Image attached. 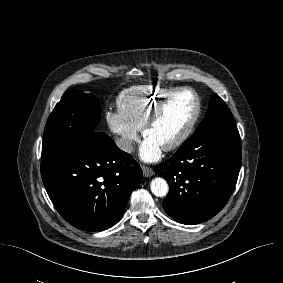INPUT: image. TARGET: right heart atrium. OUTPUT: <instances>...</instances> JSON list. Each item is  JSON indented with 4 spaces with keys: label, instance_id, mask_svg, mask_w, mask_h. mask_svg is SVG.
I'll return each instance as SVG.
<instances>
[{
    "label": "right heart atrium",
    "instance_id": "obj_1",
    "mask_svg": "<svg viewBox=\"0 0 283 283\" xmlns=\"http://www.w3.org/2000/svg\"><path fill=\"white\" fill-rule=\"evenodd\" d=\"M106 120L111 131L115 134L119 146L127 153L133 151L134 144L138 140L139 131L131 125L118 111H108Z\"/></svg>",
    "mask_w": 283,
    "mask_h": 283
}]
</instances>
